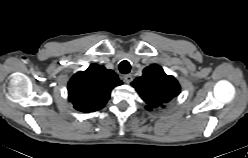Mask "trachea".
I'll return each mask as SVG.
<instances>
[{
    "instance_id": "3493384b",
    "label": "trachea",
    "mask_w": 248,
    "mask_h": 158,
    "mask_svg": "<svg viewBox=\"0 0 248 158\" xmlns=\"http://www.w3.org/2000/svg\"><path fill=\"white\" fill-rule=\"evenodd\" d=\"M119 70L122 74H128L131 70V66H130V63L126 60L122 61L120 64H119Z\"/></svg>"
}]
</instances>
